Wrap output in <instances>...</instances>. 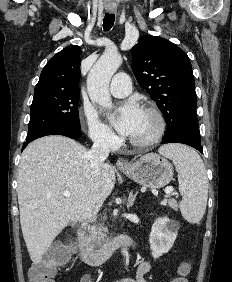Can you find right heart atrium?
I'll return each instance as SVG.
<instances>
[{
    "instance_id": "right-heart-atrium-1",
    "label": "right heart atrium",
    "mask_w": 232,
    "mask_h": 282,
    "mask_svg": "<svg viewBox=\"0 0 232 282\" xmlns=\"http://www.w3.org/2000/svg\"><path fill=\"white\" fill-rule=\"evenodd\" d=\"M83 117L88 134L96 144L107 148H112L117 144V136L99 119L98 114L94 109L84 107Z\"/></svg>"
}]
</instances>
